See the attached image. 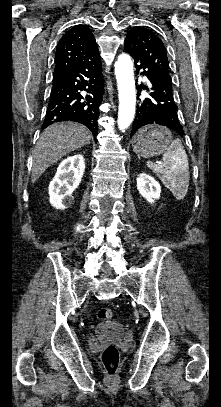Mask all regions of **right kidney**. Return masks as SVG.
<instances>
[{"label":"right kidney","instance_id":"right-kidney-1","mask_svg":"<svg viewBox=\"0 0 221 407\" xmlns=\"http://www.w3.org/2000/svg\"><path fill=\"white\" fill-rule=\"evenodd\" d=\"M85 170L81 154L67 157L49 184L50 203L56 209H65L73 203V191L79 186Z\"/></svg>","mask_w":221,"mask_h":407}]
</instances>
